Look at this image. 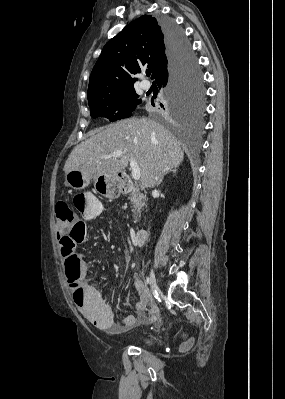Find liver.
<instances>
[{
    "instance_id": "obj_1",
    "label": "liver",
    "mask_w": 285,
    "mask_h": 399,
    "mask_svg": "<svg viewBox=\"0 0 285 399\" xmlns=\"http://www.w3.org/2000/svg\"><path fill=\"white\" fill-rule=\"evenodd\" d=\"M115 151L122 156L104 158ZM183 159L180 142L169 130L153 120L132 117L97 130L77 145L64 171L79 170L89 177L115 176L134 160L141 169V186L148 188L159 185L167 171Z\"/></svg>"
}]
</instances>
